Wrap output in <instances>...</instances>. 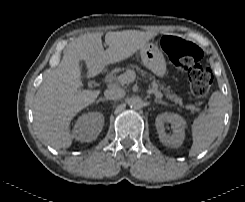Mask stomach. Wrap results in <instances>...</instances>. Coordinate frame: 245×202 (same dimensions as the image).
<instances>
[{"mask_svg": "<svg viewBox=\"0 0 245 202\" xmlns=\"http://www.w3.org/2000/svg\"><path fill=\"white\" fill-rule=\"evenodd\" d=\"M140 56L144 66L156 76L163 78L167 73V64L157 44L147 42L140 48Z\"/></svg>", "mask_w": 245, "mask_h": 202, "instance_id": "obj_1", "label": "stomach"}]
</instances>
